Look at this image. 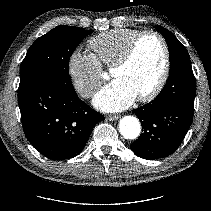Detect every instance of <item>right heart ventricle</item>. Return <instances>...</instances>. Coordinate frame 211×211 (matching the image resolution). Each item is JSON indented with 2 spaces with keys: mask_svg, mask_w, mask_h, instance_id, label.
Masks as SVG:
<instances>
[{
  "mask_svg": "<svg viewBox=\"0 0 211 211\" xmlns=\"http://www.w3.org/2000/svg\"><path fill=\"white\" fill-rule=\"evenodd\" d=\"M140 32V30L132 28L108 30L94 36L89 41V47L99 65L111 68Z\"/></svg>",
  "mask_w": 211,
  "mask_h": 211,
  "instance_id": "right-heart-ventricle-1",
  "label": "right heart ventricle"
}]
</instances>
